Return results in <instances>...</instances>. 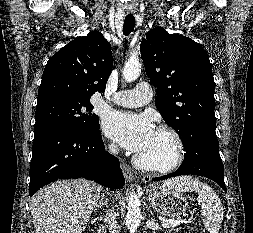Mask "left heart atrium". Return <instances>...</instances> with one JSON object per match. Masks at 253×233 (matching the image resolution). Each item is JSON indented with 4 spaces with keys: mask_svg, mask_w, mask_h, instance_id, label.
<instances>
[{
    "mask_svg": "<svg viewBox=\"0 0 253 233\" xmlns=\"http://www.w3.org/2000/svg\"><path fill=\"white\" fill-rule=\"evenodd\" d=\"M105 134L132 152L143 151L154 135V126L148 115L112 111L103 119Z\"/></svg>",
    "mask_w": 253,
    "mask_h": 233,
    "instance_id": "obj_1",
    "label": "left heart atrium"
}]
</instances>
